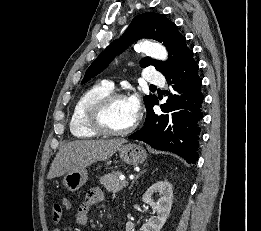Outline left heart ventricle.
<instances>
[{
	"label": "left heart ventricle",
	"instance_id": "obj_1",
	"mask_svg": "<svg viewBox=\"0 0 261 231\" xmlns=\"http://www.w3.org/2000/svg\"><path fill=\"white\" fill-rule=\"evenodd\" d=\"M136 115L132 111L128 99L122 98L114 101L106 114L107 124L115 130H123L129 127Z\"/></svg>",
	"mask_w": 261,
	"mask_h": 231
}]
</instances>
